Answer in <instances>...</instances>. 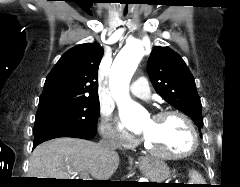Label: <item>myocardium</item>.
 <instances>
[{
    "instance_id": "myocardium-1",
    "label": "myocardium",
    "mask_w": 240,
    "mask_h": 187,
    "mask_svg": "<svg viewBox=\"0 0 240 187\" xmlns=\"http://www.w3.org/2000/svg\"><path fill=\"white\" fill-rule=\"evenodd\" d=\"M167 116H176L184 123L190 136L189 147L185 151H182L179 153H168V152L156 151L150 147L147 141H144L143 143L144 150L148 154H151L160 159H182L192 155L198 147V134L193 122L185 113L176 109L161 110L153 116V120H160Z\"/></svg>"
}]
</instances>
